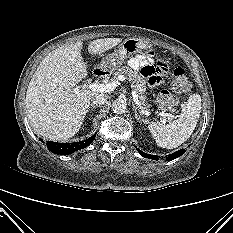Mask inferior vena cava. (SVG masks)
<instances>
[{
  "label": "inferior vena cava",
  "mask_w": 233,
  "mask_h": 233,
  "mask_svg": "<svg viewBox=\"0 0 233 233\" xmlns=\"http://www.w3.org/2000/svg\"><path fill=\"white\" fill-rule=\"evenodd\" d=\"M91 101L94 105L100 106V105H103L104 103H106L107 96L103 93L96 94L95 96L92 97Z\"/></svg>",
  "instance_id": "inferior-vena-cava-1"
}]
</instances>
